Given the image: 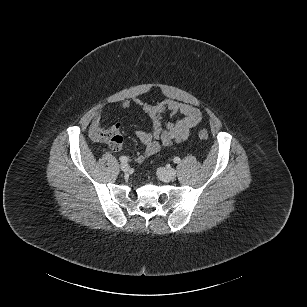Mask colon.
Masks as SVG:
<instances>
[{
  "mask_svg": "<svg viewBox=\"0 0 307 307\" xmlns=\"http://www.w3.org/2000/svg\"><path fill=\"white\" fill-rule=\"evenodd\" d=\"M198 137L200 140L206 141L209 138V133L206 129L201 128L198 130ZM108 144L113 150H119L123 144V138L119 132H111L108 137Z\"/></svg>",
  "mask_w": 307,
  "mask_h": 307,
  "instance_id": "1",
  "label": "colon"
}]
</instances>
